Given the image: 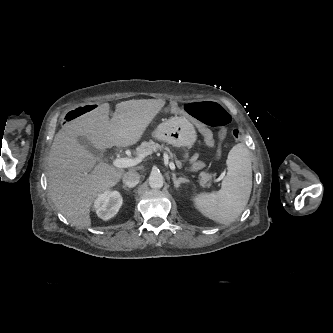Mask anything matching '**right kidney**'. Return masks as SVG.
Here are the masks:
<instances>
[{
  "label": "right kidney",
  "mask_w": 333,
  "mask_h": 333,
  "mask_svg": "<svg viewBox=\"0 0 333 333\" xmlns=\"http://www.w3.org/2000/svg\"><path fill=\"white\" fill-rule=\"evenodd\" d=\"M123 198L118 191H105L99 194L94 202V210L98 217L109 220L122 206Z\"/></svg>",
  "instance_id": "right-kidney-1"
}]
</instances>
